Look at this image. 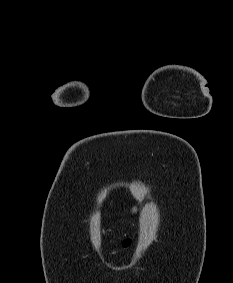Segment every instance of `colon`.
Segmentation results:
<instances>
[{
    "label": "colon",
    "instance_id": "1",
    "mask_svg": "<svg viewBox=\"0 0 233 283\" xmlns=\"http://www.w3.org/2000/svg\"><path fill=\"white\" fill-rule=\"evenodd\" d=\"M130 244V240L129 239H125L122 241V245L123 246H128Z\"/></svg>",
    "mask_w": 233,
    "mask_h": 283
}]
</instances>
